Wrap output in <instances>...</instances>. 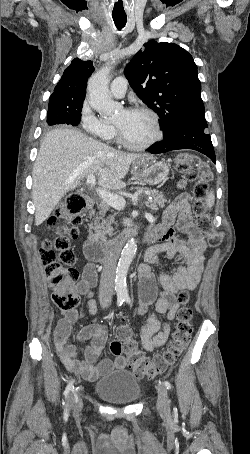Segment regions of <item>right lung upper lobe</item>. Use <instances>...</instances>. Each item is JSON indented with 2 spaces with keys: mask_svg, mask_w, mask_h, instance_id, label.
Returning <instances> with one entry per match:
<instances>
[{
  "mask_svg": "<svg viewBox=\"0 0 250 454\" xmlns=\"http://www.w3.org/2000/svg\"><path fill=\"white\" fill-rule=\"evenodd\" d=\"M93 71L92 61L75 58L64 71L50 98L58 97L72 101L85 98L87 80Z\"/></svg>",
  "mask_w": 250,
  "mask_h": 454,
  "instance_id": "obj_1",
  "label": "right lung upper lobe"
}]
</instances>
